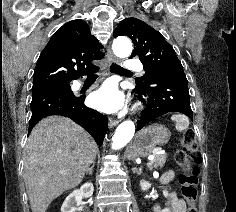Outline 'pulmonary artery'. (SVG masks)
I'll use <instances>...</instances> for the list:
<instances>
[{
	"instance_id": "e3ab8cb5",
	"label": "pulmonary artery",
	"mask_w": 236,
	"mask_h": 212,
	"mask_svg": "<svg viewBox=\"0 0 236 212\" xmlns=\"http://www.w3.org/2000/svg\"><path fill=\"white\" fill-rule=\"evenodd\" d=\"M123 67L125 69H132V70H136L138 72H143L142 64L139 61H136V60H127V61H125ZM75 87L76 88L81 87V83H76Z\"/></svg>"
}]
</instances>
